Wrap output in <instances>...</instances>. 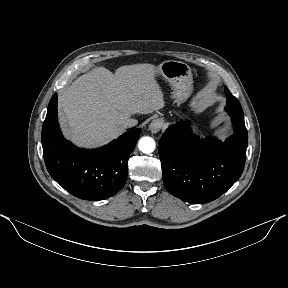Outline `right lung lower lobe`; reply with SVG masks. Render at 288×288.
<instances>
[{
  "label": "right lung lower lobe",
  "instance_id": "98d812e1",
  "mask_svg": "<svg viewBox=\"0 0 288 288\" xmlns=\"http://www.w3.org/2000/svg\"><path fill=\"white\" fill-rule=\"evenodd\" d=\"M141 129L124 133L108 145L83 150L65 140L57 122V94L48 106L42 127V147L50 176L72 195L84 200H103L116 194L128 176V158Z\"/></svg>",
  "mask_w": 288,
  "mask_h": 288
}]
</instances>
